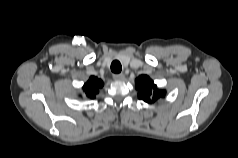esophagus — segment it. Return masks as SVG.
Returning a JSON list of instances; mask_svg holds the SVG:
<instances>
[{"label": "esophagus", "instance_id": "34e87169", "mask_svg": "<svg viewBox=\"0 0 238 158\" xmlns=\"http://www.w3.org/2000/svg\"><path fill=\"white\" fill-rule=\"evenodd\" d=\"M114 80L120 81L124 79V74L123 73H119V74H114L113 75Z\"/></svg>", "mask_w": 238, "mask_h": 158}]
</instances>
